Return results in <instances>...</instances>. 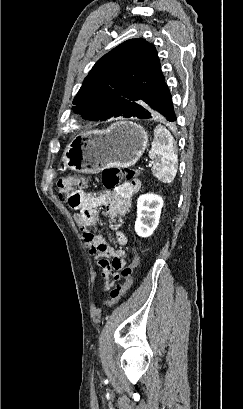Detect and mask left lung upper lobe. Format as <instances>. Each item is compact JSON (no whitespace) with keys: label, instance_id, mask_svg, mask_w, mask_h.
<instances>
[{"label":"left lung upper lobe","instance_id":"left-lung-upper-lobe-1","mask_svg":"<svg viewBox=\"0 0 243 409\" xmlns=\"http://www.w3.org/2000/svg\"><path fill=\"white\" fill-rule=\"evenodd\" d=\"M164 80L155 47L142 38L127 40L100 58L73 100L75 113L98 121L108 113L123 115Z\"/></svg>","mask_w":243,"mask_h":409}]
</instances>
